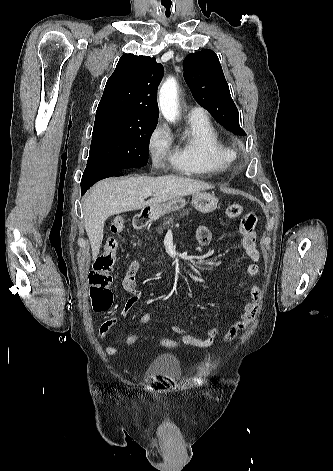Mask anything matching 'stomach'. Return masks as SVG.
Returning a JSON list of instances; mask_svg holds the SVG:
<instances>
[{"label":"stomach","mask_w":333,"mask_h":471,"mask_svg":"<svg viewBox=\"0 0 333 471\" xmlns=\"http://www.w3.org/2000/svg\"><path fill=\"white\" fill-rule=\"evenodd\" d=\"M192 206L202 213H210L217 209L218 198L213 194L197 192L192 195ZM186 205L183 197H176L168 202L155 204L149 207L150 213L154 219L172 212L182 209Z\"/></svg>","instance_id":"stomach-1"}]
</instances>
